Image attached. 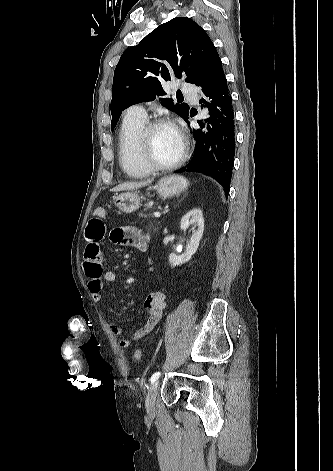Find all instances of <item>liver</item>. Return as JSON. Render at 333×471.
<instances>
[{
  "instance_id": "6515ba94",
  "label": "liver",
  "mask_w": 333,
  "mask_h": 471,
  "mask_svg": "<svg viewBox=\"0 0 333 471\" xmlns=\"http://www.w3.org/2000/svg\"><path fill=\"white\" fill-rule=\"evenodd\" d=\"M150 183H152V179L147 180V181H143V182H126V183H122V184L116 186L112 190L113 191L135 190V189L144 187V186H146Z\"/></svg>"
}]
</instances>
